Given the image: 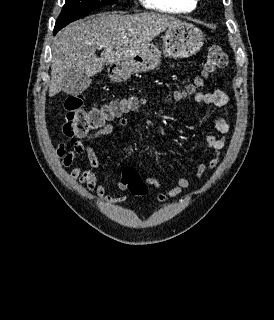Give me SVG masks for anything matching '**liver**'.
I'll use <instances>...</instances> for the list:
<instances>
[{"mask_svg":"<svg viewBox=\"0 0 274 320\" xmlns=\"http://www.w3.org/2000/svg\"><path fill=\"white\" fill-rule=\"evenodd\" d=\"M181 24V20L164 14H133L119 12L94 14L72 22L58 32L52 48L49 96L59 92L78 94V78H91L107 64H120L134 58L139 50L161 32ZM103 46L100 58L95 52Z\"/></svg>","mask_w":274,"mask_h":320,"instance_id":"6515ba94","label":"liver"}]
</instances>
